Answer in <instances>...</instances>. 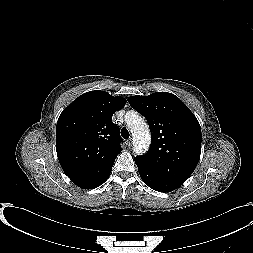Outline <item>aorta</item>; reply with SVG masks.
Masks as SVG:
<instances>
[{"label": "aorta", "mask_w": 253, "mask_h": 253, "mask_svg": "<svg viewBox=\"0 0 253 253\" xmlns=\"http://www.w3.org/2000/svg\"><path fill=\"white\" fill-rule=\"evenodd\" d=\"M125 120L133 136V150L137 155L144 154L150 145V130L147 123L134 111L126 113Z\"/></svg>", "instance_id": "762f6f07"}]
</instances>
